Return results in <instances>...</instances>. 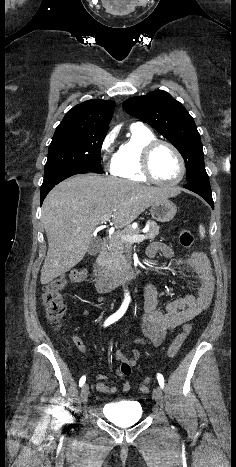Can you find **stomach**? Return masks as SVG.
Here are the masks:
<instances>
[{
  "mask_svg": "<svg viewBox=\"0 0 236 467\" xmlns=\"http://www.w3.org/2000/svg\"><path fill=\"white\" fill-rule=\"evenodd\" d=\"M176 205L168 200L162 199L151 205L150 213L152 218L159 222H169L176 215Z\"/></svg>",
  "mask_w": 236,
  "mask_h": 467,
  "instance_id": "0dacf381",
  "label": "stomach"
}]
</instances>
